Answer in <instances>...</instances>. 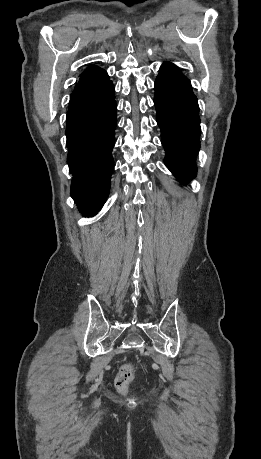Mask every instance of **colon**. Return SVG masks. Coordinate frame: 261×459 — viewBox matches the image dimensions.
Returning <instances> with one entry per match:
<instances>
[{"label": "colon", "mask_w": 261, "mask_h": 459, "mask_svg": "<svg viewBox=\"0 0 261 459\" xmlns=\"http://www.w3.org/2000/svg\"><path fill=\"white\" fill-rule=\"evenodd\" d=\"M134 369L132 364H126L120 369L115 379V388L119 393L125 394L127 392L128 383L134 373Z\"/></svg>", "instance_id": "colon-1"}]
</instances>
